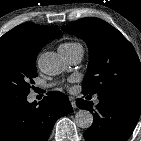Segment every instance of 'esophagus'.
I'll return each instance as SVG.
<instances>
[{
    "instance_id": "esophagus-1",
    "label": "esophagus",
    "mask_w": 141,
    "mask_h": 141,
    "mask_svg": "<svg viewBox=\"0 0 141 141\" xmlns=\"http://www.w3.org/2000/svg\"><path fill=\"white\" fill-rule=\"evenodd\" d=\"M69 101H70V103H71V105H72L73 108H76L77 107L76 106V100H75L74 97L70 96L69 97Z\"/></svg>"
}]
</instances>
